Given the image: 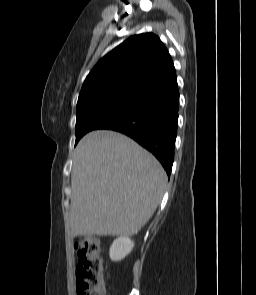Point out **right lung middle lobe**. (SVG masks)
I'll use <instances>...</instances> for the list:
<instances>
[{
    "instance_id": "right-lung-middle-lobe-1",
    "label": "right lung middle lobe",
    "mask_w": 256,
    "mask_h": 295,
    "mask_svg": "<svg viewBox=\"0 0 256 295\" xmlns=\"http://www.w3.org/2000/svg\"><path fill=\"white\" fill-rule=\"evenodd\" d=\"M136 92L123 93L106 98L91 105H77L76 114V143L87 132L98 129L106 121L110 120L135 97Z\"/></svg>"
}]
</instances>
